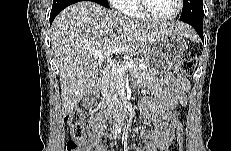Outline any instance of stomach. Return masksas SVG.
<instances>
[{"mask_svg":"<svg viewBox=\"0 0 231 151\" xmlns=\"http://www.w3.org/2000/svg\"><path fill=\"white\" fill-rule=\"evenodd\" d=\"M187 48L184 36L167 33L150 45L143 54V60L150 74H160L168 71Z\"/></svg>","mask_w":231,"mask_h":151,"instance_id":"obj_1","label":"stomach"}]
</instances>
